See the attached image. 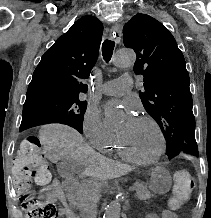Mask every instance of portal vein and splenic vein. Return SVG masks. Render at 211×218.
Returning <instances> with one entry per match:
<instances>
[{"mask_svg":"<svg viewBox=\"0 0 211 218\" xmlns=\"http://www.w3.org/2000/svg\"><path fill=\"white\" fill-rule=\"evenodd\" d=\"M132 190H133V186H130V187H129V191H132Z\"/></svg>","mask_w":211,"mask_h":218,"instance_id":"portal-vein-and-splenic-vein-1","label":"portal vein and splenic vein"}]
</instances>
